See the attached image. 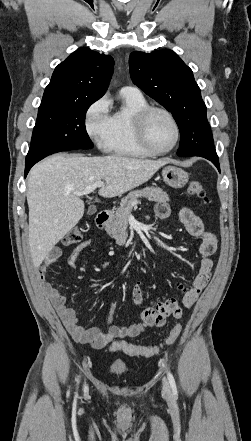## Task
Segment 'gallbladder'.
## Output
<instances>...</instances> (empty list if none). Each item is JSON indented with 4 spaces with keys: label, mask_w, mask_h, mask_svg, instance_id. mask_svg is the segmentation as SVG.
<instances>
[{
    "label": "gallbladder",
    "mask_w": 251,
    "mask_h": 441,
    "mask_svg": "<svg viewBox=\"0 0 251 441\" xmlns=\"http://www.w3.org/2000/svg\"><path fill=\"white\" fill-rule=\"evenodd\" d=\"M96 211H97V209L94 205H91L88 209L89 214H94V213H96Z\"/></svg>",
    "instance_id": "bac80fb5"
}]
</instances>
